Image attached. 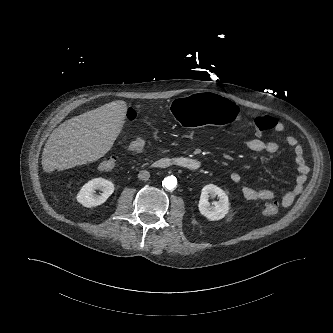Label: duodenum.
<instances>
[{
  "instance_id": "obj_1",
  "label": "duodenum",
  "mask_w": 333,
  "mask_h": 333,
  "mask_svg": "<svg viewBox=\"0 0 333 333\" xmlns=\"http://www.w3.org/2000/svg\"><path fill=\"white\" fill-rule=\"evenodd\" d=\"M155 168L177 167L188 171H198L201 168V162L192 157H174L161 158L152 163Z\"/></svg>"
}]
</instances>
